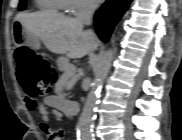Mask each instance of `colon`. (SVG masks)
<instances>
[{
    "label": "colon",
    "instance_id": "colon-1",
    "mask_svg": "<svg viewBox=\"0 0 182 140\" xmlns=\"http://www.w3.org/2000/svg\"><path fill=\"white\" fill-rule=\"evenodd\" d=\"M17 76L26 93V99L36 104L38 98L49 92L53 70L46 59L30 48L16 52Z\"/></svg>",
    "mask_w": 182,
    "mask_h": 140
}]
</instances>
